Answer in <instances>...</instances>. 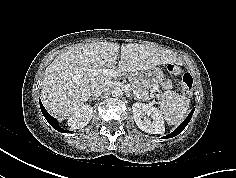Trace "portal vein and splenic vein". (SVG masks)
I'll return each mask as SVG.
<instances>
[{"mask_svg":"<svg viewBox=\"0 0 236 178\" xmlns=\"http://www.w3.org/2000/svg\"><path fill=\"white\" fill-rule=\"evenodd\" d=\"M92 74L93 75L103 74V75H107V76H110V77H117V76L120 75V73L117 70L108 69V68H102L100 70H94V71H92ZM134 92H135V94L138 98H141L136 91H134Z\"/></svg>","mask_w":236,"mask_h":178,"instance_id":"portal-vein-and-splenic-vein-1","label":"portal vein and splenic vein"}]
</instances>
